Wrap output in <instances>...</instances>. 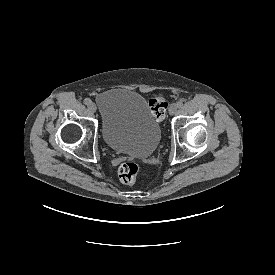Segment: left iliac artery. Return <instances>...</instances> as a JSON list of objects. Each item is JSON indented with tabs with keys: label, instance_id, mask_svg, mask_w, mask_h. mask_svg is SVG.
Returning a JSON list of instances; mask_svg holds the SVG:
<instances>
[{
	"label": "left iliac artery",
	"instance_id": "obj_1",
	"mask_svg": "<svg viewBox=\"0 0 275 275\" xmlns=\"http://www.w3.org/2000/svg\"><path fill=\"white\" fill-rule=\"evenodd\" d=\"M176 105H177V107H181V106L183 105V102H182V101H178V102L176 103Z\"/></svg>",
	"mask_w": 275,
	"mask_h": 275
}]
</instances>
